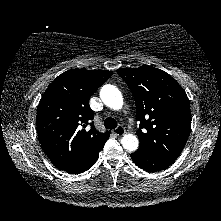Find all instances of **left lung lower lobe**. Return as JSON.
<instances>
[{"instance_id":"obj_1","label":"left lung lower lobe","mask_w":221,"mask_h":221,"mask_svg":"<svg viewBox=\"0 0 221 221\" xmlns=\"http://www.w3.org/2000/svg\"><path fill=\"white\" fill-rule=\"evenodd\" d=\"M131 158L138 167L150 172L165 169L175 161V159L147 155L138 151L132 153Z\"/></svg>"}]
</instances>
